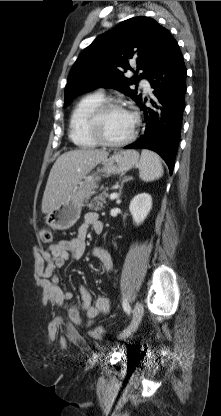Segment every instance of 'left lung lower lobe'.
<instances>
[{
    "instance_id": "obj_1",
    "label": "left lung lower lobe",
    "mask_w": 221,
    "mask_h": 416,
    "mask_svg": "<svg viewBox=\"0 0 221 416\" xmlns=\"http://www.w3.org/2000/svg\"><path fill=\"white\" fill-rule=\"evenodd\" d=\"M154 89L152 107L143 99L139 107L144 112L145 131L125 148H147L157 152L174 169L179 143L186 93V67L176 40L167 31L147 77Z\"/></svg>"
}]
</instances>
